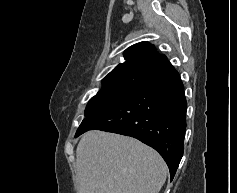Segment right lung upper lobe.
<instances>
[{
  "label": "right lung upper lobe",
  "instance_id": "1",
  "mask_svg": "<svg viewBox=\"0 0 237 193\" xmlns=\"http://www.w3.org/2000/svg\"><path fill=\"white\" fill-rule=\"evenodd\" d=\"M162 54L147 42H140L129 47L124 52L125 62L115 67L105 78L120 75L130 71H139L148 68Z\"/></svg>",
  "mask_w": 237,
  "mask_h": 193
}]
</instances>
